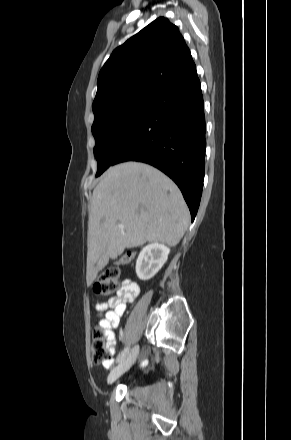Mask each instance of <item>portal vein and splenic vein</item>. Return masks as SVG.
<instances>
[{
    "instance_id": "18ae733b",
    "label": "portal vein and splenic vein",
    "mask_w": 291,
    "mask_h": 440,
    "mask_svg": "<svg viewBox=\"0 0 291 440\" xmlns=\"http://www.w3.org/2000/svg\"><path fill=\"white\" fill-rule=\"evenodd\" d=\"M118 228H119V229H123V228H124V225H123V224H119V225H118Z\"/></svg>"
}]
</instances>
